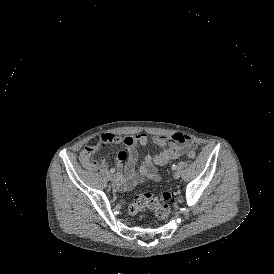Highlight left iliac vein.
Returning <instances> with one entry per match:
<instances>
[{"instance_id": "1", "label": "left iliac vein", "mask_w": 274, "mask_h": 274, "mask_svg": "<svg viewBox=\"0 0 274 274\" xmlns=\"http://www.w3.org/2000/svg\"><path fill=\"white\" fill-rule=\"evenodd\" d=\"M173 176H174L175 179H179L180 173L177 172V171H175L174 174H173Z\"/></svg>"}]
</instances>
